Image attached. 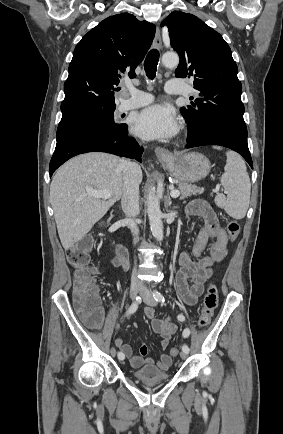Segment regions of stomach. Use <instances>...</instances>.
Here are the masks:
<instances>
[{"label":"stomach","instance_id":"1","mask_svg":"<svg viewBox=\"0 0 283 434\" xmlns=\"http://www.w3.org/2000/svg\"><path fill=\"white\" fill-rule=\"evenodd\" d=\"M161 161L176 179L184 183L198 182L210 172L209 160L196 152L174 155L169 160Z\"/></svg>","mask_w":283,"mask_h":434}]
</instances>
